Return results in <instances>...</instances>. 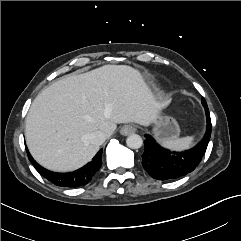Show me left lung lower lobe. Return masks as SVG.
I'll use <instances>...</instances> for the list:
<instances>
[{"instance_id": "left-lung-lower-lobe-1", "label": "left lung lower lobe", "mask_w": 241, "mask_h": 241, "mask_svg": "<svg viewBox=\"0 0 241 241\" xmlns=\"http://www.w3.org/2000/svg\"><path fill=\"white\" fill-rule=\"evenodd\" d=\"M207 117L205 137L192 149L184 152H172L161 147L155 140L146 135L145 151L142 165L147 173L157 180H172L192 172L200 163L211 136V119L208 106H204Z\"/></svg>"}]
</instances>
